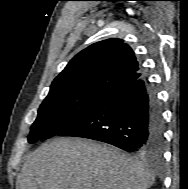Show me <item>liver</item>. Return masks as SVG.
<instances>
[{"label":"liver","instance_id":"6515ba94","mask_svg":"<svg viewBox=\"0 0 188 189\" xmlns=\"http://www.w3.org/2000/svg\"><path fill=\"white\" fill-rule=\"evenodd\" d=\"M18 181L19 189H147L155 177L117 148L56 138L27 156Z\"/></svg>","mask_w":188,"mask_h":189}]
</instances>
